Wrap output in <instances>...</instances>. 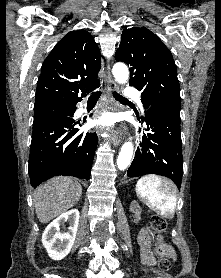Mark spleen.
<instances>
[{
  "label": "spleen",
  "mask_w": 221,
  "mask_h": 278,
  "mask_svg": "<svg viewBox=\"0 0 221 278\" xmlns=\"http://www.w3.org/2000/svg\"><path fill=\"white\" fill-rule=\"evenodd\" d=\"M136 194L162 217H174L177 199L170 181L157 175L143 176L136 184Z\"/></svg>",
  "instance_id": "spleen-1"
}]
</instances>
